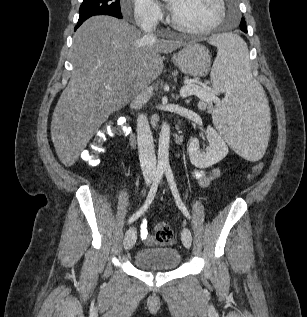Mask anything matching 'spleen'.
Returning a JSON list of instances; mask_svg holds the SVG:
<instances>
[{
    "instance_id": "obj_1",
    "label": "spleen",
    "mask_w": 307,
    "mask_h": 317,
    "mask_svg": "<svg viewBox=\"0 0 307 317\" xmlns=\"http://www.w3.org/2000/svg\"><path fill=\"white\" fill-rule=\"evenodd\" d=\"M205 42L217 47L210 77L214 89L225 94L213 122L241 160H262L271 139L267 91L253 79L247 46L234 33H209Z\"/></svg>"
}]
</instances>
